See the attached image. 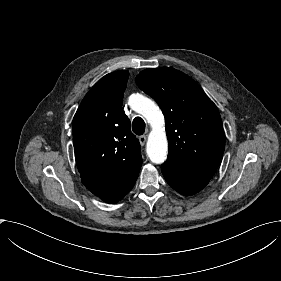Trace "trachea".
Masks as SVG:
<instances>
[{
	"label": "trachea",
	"instance_id": "3493384b",
	"mask_svg": "<svg viewBox=\"0 0 281 281\" xmlns=\"http://www.w3.org/2000/svg\"><path fill=\"white\" fill-rule=\"evenodd\" d=\"M133 132L137 135H142L145 132V122L140 117H135L132 123Z\"/></svg>",
	"mask_w": 281,
	"mask_h": 281
}]
</instances>
